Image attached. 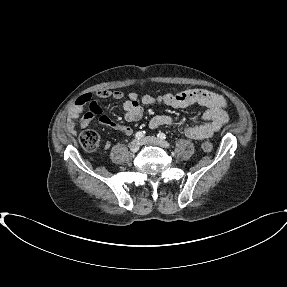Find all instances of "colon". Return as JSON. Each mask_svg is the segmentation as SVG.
<instances>
[{
    "mask_svg": "<svg viewBox=\"0 0 287 287\" xmlns=\"http://www.w3.org/2000/svg\"><path fill=\"white\" fill-rule=\"evenodd\" d=\"M79 141L81 146L89 152L96 151L100 146V137L93 131L82 132L79 136ZM213 147V142L210 140H207L202 144V149L205 152H211Z\"/></svg>",
    "mask_w": 287,
    "mask_h": 287,
    "instance_id": "1",
    "label": "colon"
}]
</instances>
